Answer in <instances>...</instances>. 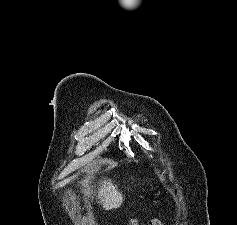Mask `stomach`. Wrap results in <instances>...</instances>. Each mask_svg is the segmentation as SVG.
<instances>
[{"label": "stomach", "instance_id": "obj_1", "mask_svg": "<svg viewBox=\"0 0 237 225\" xmlns=\"http://www.w3.org/2000/svg\"><path fill=\"white\" fill-rule=\"evenodd\" d=\"M160 194V190H158L156 193H155V196H158Z\"/></svg>", "mask_w": 237, "mask_h": 225}]
</instances>
